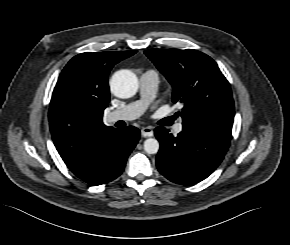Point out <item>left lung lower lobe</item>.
Segmentation results:
<instances>
[{"label":"left lung lower lobe","mask_w":290,"mask_h":245,"mask_svg":"<svg viewBox=\"0 0 290 245\" xmlns=\"http://www.w3.org/2000/svg\"><path fill=\"white\" fill-rule=\"evenodd\" d=\"M160 142L159 172L174 183L193 185L207 178L221 163L230 145L224 138L197 126H184L174 137L164 127L155 129Z\"/></svg>","instance_id":"0a47b994"}]
</instances>
